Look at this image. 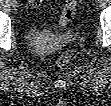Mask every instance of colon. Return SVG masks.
<instances>
[{
  "instance_id": "obj_1",
  "label": "colon",
  "mask_w": 111,
  "mask_h": 106,
  "mask_svg": "<svg viewBox=\"0 0 111 106\" xmlns=\"http://www.w3.org/2000/svg\"><path fill=\"white\" fill-rule=\"evenodd\" d=\"M75 13H76V2L72 0L67 1L60 14L59 24L61 26H66L67 24L72 22L74 19ZM70 59H71V56L68 52H62L57 57L56 61L59 65L64 66L70 62Z\"/></svg>"
}]
</instances>
